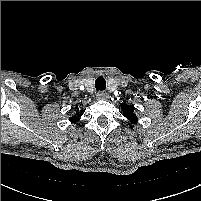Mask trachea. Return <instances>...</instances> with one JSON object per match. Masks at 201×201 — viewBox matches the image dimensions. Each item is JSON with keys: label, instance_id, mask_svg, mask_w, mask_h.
<instances>
[{"label": "trachea", "instance_id": "1", "mask_svg": "<svg viewBox=\"0 0 201 201\" xmlns=\"http://www.w3.org/2000/svg\"><path fill=\"white\" fill-rule=\"evenodd\" d=\"M95 88L97 91L105 90L106 88V81L104 77L99 76L95 81Z\"/></svg>", "mask_w": 201, "mask_h": 201}]
</instances>
